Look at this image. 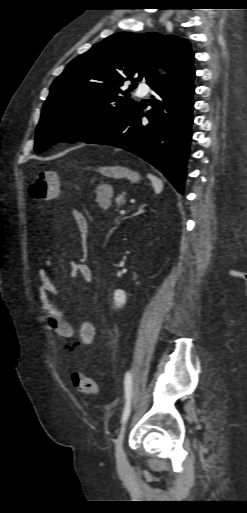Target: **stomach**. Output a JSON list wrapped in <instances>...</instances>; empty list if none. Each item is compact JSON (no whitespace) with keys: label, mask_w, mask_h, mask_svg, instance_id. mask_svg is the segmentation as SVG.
I'll return each instance as SVG.
<instances>
[{"label":"stomach","mask_w":247,"mask_h":513,"mask_svg":"<svg viewBox=\"0 0 247 513\" xmlns=\"http://www.w3.org/2000/svg\"><path fill=\"white\" fill-rule=\"evenodd\" d=\"M97 171L104 176L115 179L127 178L131 182H138L141 180V176L136 171L122 166H102L99 167Z\"/></svg>","instance_id":"obj_1"}]
</instances>
